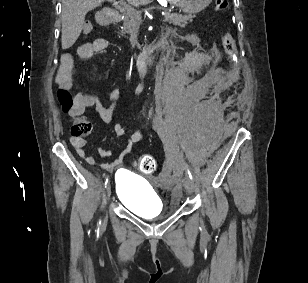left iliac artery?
<instances>
[{
    "instance_id": "1",
    "label": "left iliac artery",
    "mask_w": 308,
    "mask_h": 283,
    "mask_svg": "<svg viewBox=\"0 0 308 283\" xmlns=\"http://www.w3.org/2000/svg\"><path fill=\"white\" fill-rule=\"evenodd\" d=\"M185 169H186V173L188 174V176L190 177V179H192V178H193V175H192L191 168H190L188 165H186Z\"/></svg>"
}]
</instances>
